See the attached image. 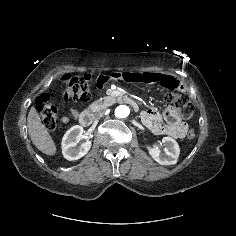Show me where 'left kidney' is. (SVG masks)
<instances>
[{
	"label": "left kidney",
	"instance_id": "left-kidney-1",
	"mask_svg": "<svg viewBox=\"0 0 236 236\" xmlns=\"http://www.w3.org/2000/svg\"><path fill=\"white\" fill-rule=\"evenodd\" d=\"M162 143L165 146L164 152H161V150L158 147L152 148L150 146H147L149 154L159 164L162 165L175 164L180 154V148L178 143L171 137H164L162 139Z\"/></svg>",
	"mask_w": 236,
	"mask_h": 236
}]
</instances>
